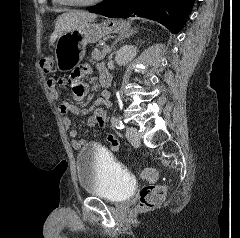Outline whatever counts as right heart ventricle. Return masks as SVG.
Listing matches in <instances>:
<instances>
[{"label": "right heart ventricle", "mask_w": 240, "mask_h": 238, "mask_svg": "<svg viewBox=\"0 0 240 238\" xmlns=\"http://www.w3.org/2000/svg\"><path fill=\"white\" fill-rule=\"evenodd\" d=\"M54 3H57V4H63L61 0H53Z\"/></svg>", "instance_id": "e07e8e85"}]
</instances>
